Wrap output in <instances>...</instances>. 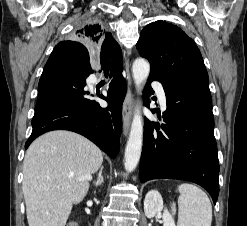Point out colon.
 Returning a JSON list of instances; mask_svg holds the SVG:
<instances>
[{
    "label": "colon",
    "instance_id": "1",
    "mask_svg": "<svg viewBox=\"0 0 247 226\" xmlns=\"http://www.w3.org/2000/svg\"><path fill=\"white\" fill-rule=\"evenodd\" d=\"M67 226H78L75 222H70Z\"/></svg>",
    "mask_w": 247,
    "mask_h": 226
}]
</instances>
